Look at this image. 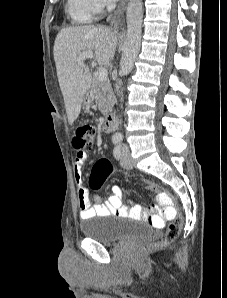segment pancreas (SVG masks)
Returning a JSON list of instances; mask_svg holds the SVG:
<instances>
[{
    "mask_svg": "<svg viewBox=\"0 0 227 298\" xmlns=\"http://www.w3.org/2000/svg\"><path fill=\"white\" fill-rule=\"evenodd\" d=\"M92 94L95 98L98 109L106 115L111 112L114 104L116 103L115 95L109 79L99 81L97 77L93 79Z\"/></svg>",
    "mask_w": 227,
    "mask_h": 298,
    "instance_id": "1",
    "label": "pancreas"
}]
</instances>
